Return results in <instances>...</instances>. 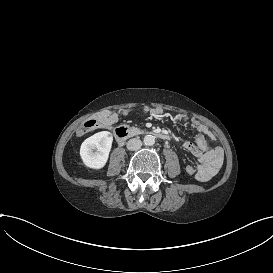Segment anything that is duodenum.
I'll return each mask as SVG.
<instances>
[{
    "mask_svg": "<svg viewBox=\"0 0 273 273\" xmlns=\"http://www.w3.org/2000/svg\"><path fill=\"white\" fill-rule=\"evenodd\" d=\"M141 133L140 130L136 129V128H128L125 126H119L116 128L115 130V136H116V140L119 143H123L125 142L128 138L130 137H134L136 135H139ZM154 135H156L157 137L163 139V140H169L170 137L167 133L162 132V131H154L152 132Z\"/></svg>",
    "mask_w": 273,
    "mask_h": 273,
    "instance_id": "duodenum-1",
    "label": "duodenum"
}]
</instances>
